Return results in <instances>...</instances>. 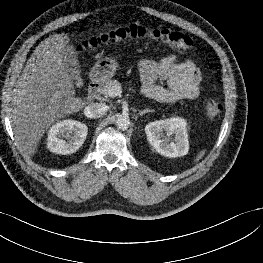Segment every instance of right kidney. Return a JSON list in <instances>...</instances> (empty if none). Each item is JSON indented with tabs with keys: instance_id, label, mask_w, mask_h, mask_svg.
Segmentation results:
<instances>
[{
	"instance_id": "1",
	"label": "right kidney",
	"mask_w": 263,
	"mask_h": 263,
	"mask_svg": "<svg viewBox=\"0 0 263 263\" xmlns=\"http://www.w3.org/2000/svg\"><path fill=\"white\" fill-rule=\"evenodd\" d=\"M87 133V126L79 121L71 119L59 121L48 132L47 147L56 154H72L82 146Z\"/></svg>"
}]
</instances>
